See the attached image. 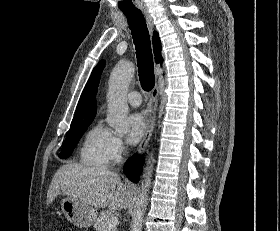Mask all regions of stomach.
<instances>
[{
    "label": "stomach",
    "instance_id": "0dacf381",
    "mask_svg": "<svg viewBox=\"0 0 280 231\" xmlns=\"http://www.w3.org/2000/svg\"><path fill=\"white\" fill-rule=\"evenodd\" d=\"M61 211L68 221L77 227H90L96 219L93 207H89L87 203L79 201V199H72V197L62 199Z\"/></svg>",
    "mask_w": 280,
    "mask_h": 231
}]
</instances>
